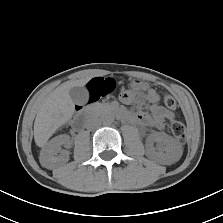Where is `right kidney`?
Instances as JSON below:
<instances>
[{
	"label": "right kidney",
	"mask_w": 223,
	"mask_h": 223,
	"mask_svg": "<svg viewBox=\"0 0 223 223\" xmlns=\"http://www.w3.org/2000/svg\"><path fill=\"white\" fill-rule=\"evenodd\" d=\"M71 147L70 137L68 135H59L53 138L40 153V162L46 168H52L56 163H66L69 161V152L62 150ZM60 153V155H57Z\"/></svg>",
	"instance_id": "1"
}]
</instances>
